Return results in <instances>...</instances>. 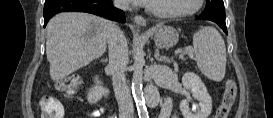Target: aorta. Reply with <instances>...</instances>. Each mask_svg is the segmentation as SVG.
Instances as JSON below:
<instances>
[{
	"mask_svg": "<svg viewBox=\"0 0 273 118\" xmlns=\"http://www.w3.org/2000/svg\"><path fill=\"white\" fill-rule=\"evenodd\" d=\"M145 53L142 46L138 42H134L133 46V80H132V93L136 102L137 110L140 115L147 112L145 99L142 92L143 82V67L145 65Z\"/></svg>",
	"mask_w": 273,
	"mask_h": 118,
	"instance_id": "762f6f07",
	"label": "aorta"
}]
</instances>
